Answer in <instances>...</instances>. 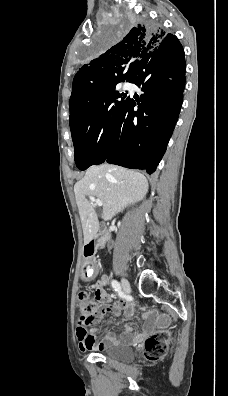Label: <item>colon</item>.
Masks as SVG:
<instances>
[{"instance_id":"obj_1","label":"colon","mask_w":228,"mask_h":396,"mask_svg":"<svg viewBox=\"0 0 228 396\" xmlns=\"http://www.w3.org/2000/svg\"><path fill=\"white\" fill-rule=\"evenodd\" d=\"M78 306L80 310V324L88 326L92 323L94 315L98 307L95 301L87 292H80L78 294ZM170 335L167 331H160L149 336L144 342V352L146 357L151 361H156L163 358L168 351Z\"/></svg>"}]
</instances>
